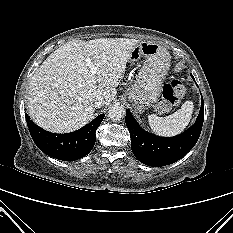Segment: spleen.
Masks as SVG:
<instances>
[{
    "label": "spleen",
    "instance_id": "obj_1",
    "mask_svg": "<svg viewBox=\"0 0 233 233\" xmlns=\"http://www.w3.org/2000/svg\"><path fill=\"white\" fill-rule=\"evenodd\" d=\"M194 105L192 101H186L180 109L171 115L158 117L155 114L148 116L149 126L152 131L161 136H174L185 130L189 124Z\"/></svg>",
    "mask_w": 233,
    "mask_h": 233
}]
</instances>
